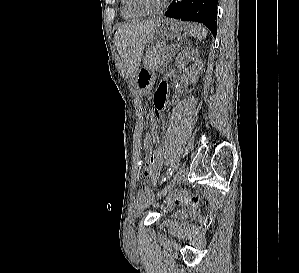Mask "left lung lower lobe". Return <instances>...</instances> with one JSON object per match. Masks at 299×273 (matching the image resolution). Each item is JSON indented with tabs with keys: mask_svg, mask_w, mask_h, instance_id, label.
<instances>
[{
	"mask_svg": "<svg viewBox=\"0 0 299 273\" xmlns=\"http://www.w3.org/2000/svg\"><path fill=\"white\" fill-rule=\"evenodd\" d=\"M218 0H182L173 2L165 16L183 21H196L205 24L214 37L217 34Z\"/></svg>",
	"mask_w": 299,
	"mask_h": 273,
	"instance_id": "0a47b994",
	"label": "left lung lower lobe"
}]
</instances>
